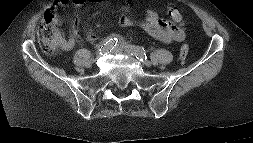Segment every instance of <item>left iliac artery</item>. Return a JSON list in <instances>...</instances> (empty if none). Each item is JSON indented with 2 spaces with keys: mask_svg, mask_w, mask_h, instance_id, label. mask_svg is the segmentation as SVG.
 <instances>
[{
  "mask_svg": "<svg viewBox=\"0 0 253 143\" xmlns=\"http://www.w3.org/2000/svg\"><path fill=\"white\" fill-rule=\"evenodd\" d=\"M132 55H135L140 61L147 59V55L143 47L132 46Z\"/></svg>",
  "mask_w": 253,
  "mask_h": 143,
  "instance_id": "1",
  "label": "left iliac artery"
}]
</instances>
